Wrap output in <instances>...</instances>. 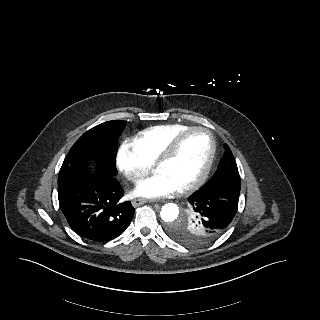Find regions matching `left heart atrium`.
Returning <instances> with one entry per match:
<instances>
[{
	"mask_svg": "<svg viewBox=\"0 0 320 320\" xmlns=\"http://www.w3.org/2000/svg\"><path fill=\"white\" fill-rule=\"evenodd\" d=\"M178 190L179 186L176 183L167 175L157 170L139 182L134 194L144 198H161L170 196Z\"/></svg>",
	"mask_w": 320,
	"mask_h": 320,
	"instance_id": "left-heart-atrium-1",
	"label": "left heart atrium"
}]
</instances>
